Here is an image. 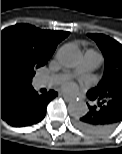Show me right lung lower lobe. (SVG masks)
<instances>
[{"label": "right lung lower lobe", "instance_id": "98d812e1", "mask_svg": "<svg viewBox=\"0 0 122 154\" xmlns=\"http://www.w3.org/2000/svg\"><path fill=\"white\" fill-rule=\"evenodd\" d=\"M57 95L53 90L40 95L32 85L12 90L1 96V118L14 127L36 124L45 117L47 104Z\"/></svg>", "mask_w": 122, "mask_h": 154}]
</instances>
